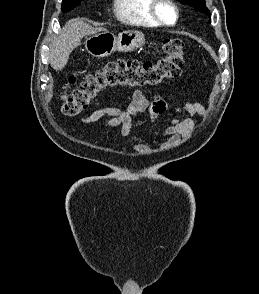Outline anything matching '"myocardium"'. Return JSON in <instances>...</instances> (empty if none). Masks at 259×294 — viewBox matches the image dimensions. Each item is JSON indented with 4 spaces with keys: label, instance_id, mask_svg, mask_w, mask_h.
Returning a JSON list of instances; mask_svg holds the SVG:
<instances>
[{
    "label": "myocardium",
    "instance_id": "1",
    "mask_svg": "<svg viewBox=\"0 0 259 294\" xmlns=\"http://www.w3.org/2000/svg\"><path fill=\"white\" fill-rule=\"evenodd\" d=\"M161 5H168L174 12V21L172 23L166 22L160 14L159 7ZM149 12L152 18L161 26L171 27L179 21V9L173 0H151Z\"/></svg>",
    "mask_w": 259,
    "mask_h": 294
}]
</instances>
